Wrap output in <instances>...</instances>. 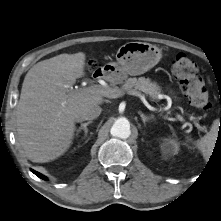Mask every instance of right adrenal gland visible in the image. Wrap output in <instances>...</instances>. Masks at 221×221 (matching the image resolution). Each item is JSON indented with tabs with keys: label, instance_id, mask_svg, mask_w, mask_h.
I'll return each mask as SVG.
<instances>
[{
	"label": "right adrenal gland",
	"instance_id": "obj_1",
	"mask_svg": "<svg viewBox=\"0 0 221 221\" xmlns=\"http://www.w3.org/2000/svg\"><path fill=\"white\" fill-rule=\"evenodd\" d=\"M91 123H92V121H88V122H86V123H82L81 126L77 129L76 135H78V133L81 132V130H83L84 133H85L84 135L87 136V133H88V128H87V126H88L89 124H91Z\"/></svg>",
	"mask_w": 221,
	"mask_h": 221
}]
</instances>
